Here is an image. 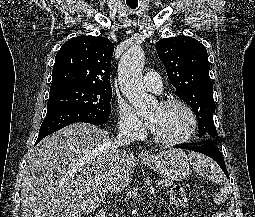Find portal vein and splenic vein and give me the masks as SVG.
<instances>
[{
    "label": "portal vein and splenic vein",
    "instance_id": "18ae733b",
    "mask_svg": "<svg viewBox=\"0 0 255 217\" xmlns=\"http://www.w3.org/2000/svg\"><path fill=\"white\" fill-rule=\"evenodd\" d=\"M154 191H155V188H154V187H151V188H150V194H154Z\"/></svg>",
    "mask_w": 255,
    "mask_h": 217
}]
</instances>
